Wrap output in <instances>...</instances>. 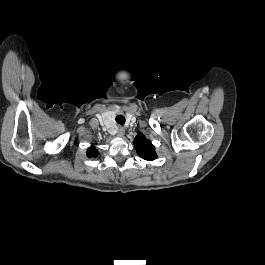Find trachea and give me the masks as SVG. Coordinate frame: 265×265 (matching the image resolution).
Here are the masks:
<instances>
[{"mask_svg": "<svg viewBox=\"0 0 265 265\" xmlns=\"http://www.w3.org/2000/svg\"><path fill=\"white\" fill-rule=\"evenodd\" d=\"M115 120L120 125H124L125 124V117L123 115H117Z\"/></svg>", "mask_w": 265, "mask_h": 265, "instance_id": "trachea-1", "label": "trachea"}]
</instances>
